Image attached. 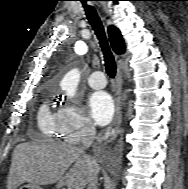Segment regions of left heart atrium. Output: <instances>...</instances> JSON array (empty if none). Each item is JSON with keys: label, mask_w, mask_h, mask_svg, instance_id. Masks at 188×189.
<instances>
[{"label": "left heart atrium", "mask_w": 188, "mask_h": 189, "mask_svg": "<svg viewBox=\"0 0 188 189\" xmlns=\"http://www.w3.org/2000/svg\"><path fill=\"white\" fill-rule=\"evenodd\" d=\"M89 111L94 122L106 125L114 113L112 97L107 92H95L89 98Z\"/></svg>", "instance_id": "left-heart-atrium-1"}]
</instances>
